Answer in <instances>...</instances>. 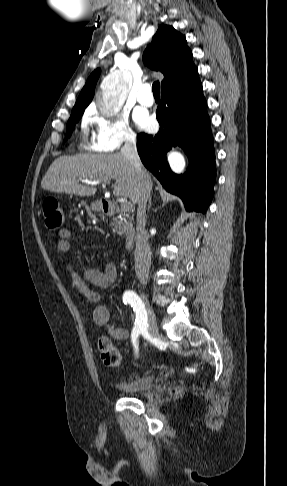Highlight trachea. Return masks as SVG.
<instances>
[{
	"label": "trachea",
	"mask_w": 287,
	"mask_h": 486,
	"mask_svg": "<svg viewBox=\"0 0 287 486\" xmlns=\"http://www.w3.org/2000/svg\"><path fill=\"white\" fill-rule=\"evenodd\" d=\"M152 91L154 95H160V83L156 81L152 85Z\"/></svg>",
	"instance_id": "obj_1"
}]
</instances>
